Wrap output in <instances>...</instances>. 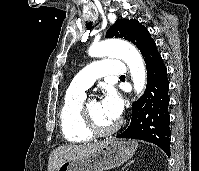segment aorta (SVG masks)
<instances>
[{
    "label": "aorta",
    "instance_id": "obj_1",
    "mask_svg": "<svg viewBox=\"0 0 199 171\" xmlns=\"http://www.w3.org/2000/svg\"><path fill=\"white\" fill-rule=\"evenodd\" d=\"M91 57L113 56L122 59L130 69L134 90L140 95L146 84V69L138 50L130 43L117 39H108L93 44L89 49Z\"/></svg>",
    "mask_w": 199,
    "mask_h": 171
}]
</instances>
